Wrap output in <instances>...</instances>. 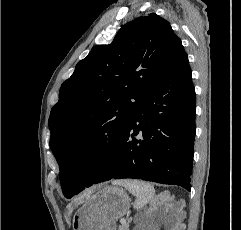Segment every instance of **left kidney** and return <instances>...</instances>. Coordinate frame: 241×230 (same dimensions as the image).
Here are the masks:
<instances>
[{
  "instance_id": "1",
  "label": "left kidney",
  "mask_w": 241,
  "mask_h": 230,
  "mask_svg": "<svg viewBox=\"0 0 241 230\" xmlns=\"http://www.w3.org/2000/svg\"><path fill=\"white\" fill-rule=\"evenodd\" d=\"M155 226L151 222H146V224H143L139 227L137 230H155Z\"/></svg>"
}]
</instances>
